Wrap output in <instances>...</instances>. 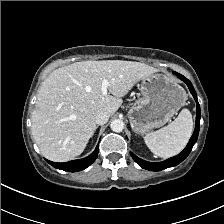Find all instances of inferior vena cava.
<instances>
[{
  "mask_svg": "<svg viewBox=\"0 0 224 224\" xmlns=\"http://www.w3.org/2000/svg\"><path fill=\"white\" fill-rule=\"evenodd\" d=\"M109 117H110V114L108 112L101 111V112L97 113V115L95 117V121L97 124L103 125V124L107 123Z\"/></svg>",
  "mask_w": 224,
  "mask_h": 224,
  "instance_id": "inferior-vena-cava-1",
  "label": "inferior vena cava"
}]
</instances>
